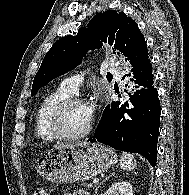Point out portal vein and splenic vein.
Wrapping results in <instances>:
<instances>
[{
    "instance_id": "obj_1",
    "label": "portal vein and splenic vein",
    "mask_w": 189,
    "mask_h": 195,
    "mask_svg": "<svg viewBox=\"0 0 189 195\" xmlns=\"http://www.w3.org/2000/svg\"><path fill=\"white\" fill-rule=\"evenodd\" d=\"M98 182H99V179H94L93 180V183H95V184L98 183Z\"/></svg>"
}]
</instances>
